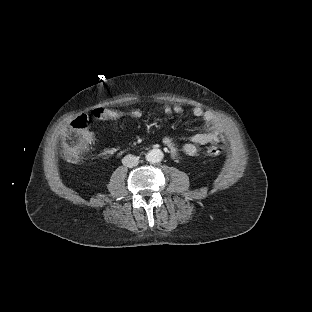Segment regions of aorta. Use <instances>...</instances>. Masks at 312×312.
<instances>
[{
  "label": "aorta",
  "instance_id": "762f6f07",
  "mask_svg": "<svg viewBox=\"0 0 312 312\" xmlns=\"http://www.w3.org/2000/svg\"><path fill=\"white\" fill-rule=\"evenodd\" d=\"M163 157L164 154L160 149H152L147 155V160L152 163H158L162 161Z\"/></svg>",
  "mask_w": 312,
  "mask_h": 312
}]
</instances>
